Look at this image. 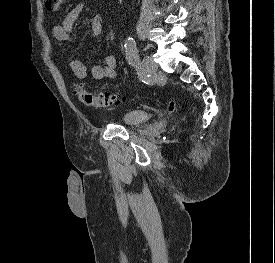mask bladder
<instances>
[{
  "mask_svg": "<svg viewBox=\"0 0 275 263\" xmlns=\"http://www.w3.org/2000/svg\"><path fill=\"white\" fill-rule=\"evenodd\" d=\"M150 119V114L141 110H131L124 114L123 122L126 126H137L147 122Z\"/></svg>",
  "mask_w": 275,
  "mask_h": 263,
  "instance_id": "bladder-1",
  "label": "bladder"
}]
</instances>
